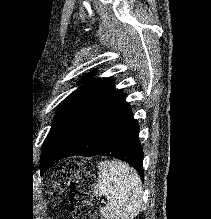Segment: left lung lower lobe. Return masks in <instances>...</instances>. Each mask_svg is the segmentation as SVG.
<instances>
[{
	"label": "left lung lower lobe",
	"mask_w": 211,
	"mask_h": 219,
	"mask_svg": "<svg viewBox=\"0 0 211 219\" xmlns=\"http://www.w3.org/2000/svg\"><path fill=\"white\" fill-rule=\"evenodd\" d=\"M138 131L126 95L113 86L73 125L51 157L41 161V173L69 156L104 155L128 162L143 180V150Z\"/></svg>",
	"instance_id": "obj_1"
}]
</instances>
